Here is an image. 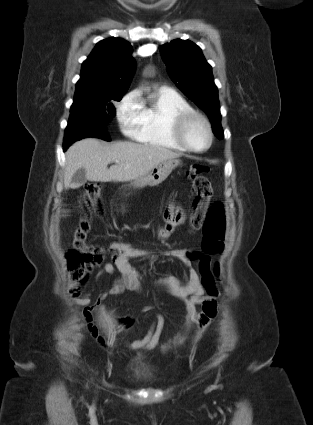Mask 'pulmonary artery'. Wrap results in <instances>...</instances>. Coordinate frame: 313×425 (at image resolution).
Wrapping results in <instances>:
<instances>
[{
  "label": "pulmonary artery",
  "mask_w": 313,
  "mask_h": 425,
  "mask_svg": "<svg viewBox=\"0 0 313 425\" xmlns=\"http://www.w3.org/2000/svg\"><path fill=\"white\" fill-rule=\"evenodd\" d=\"M163 89H167V90H170L169 88H163Z\"/></svg>",
  "instance_id": "1"
}]
</instances>
